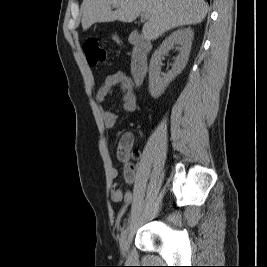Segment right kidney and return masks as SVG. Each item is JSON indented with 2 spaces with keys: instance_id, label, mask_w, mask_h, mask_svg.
Wrapping results in <instances>:
<instances>
[{
  "instance_id": "ca27d5eb",
  "label": "right kidney",
  "mask_w": 267,
  "mask_h": 267,
  "mask_svg": "<svg viewBox=\"0 0 267 267\" xmlns=\"http://www.w3.org/2000/svg\"><path fill=\"white\" fill-rule=\"evenodd\" d=\"M194 33L190 28H182L171 33L152 55L149 65V93L158 98L169 83L185 68L191 50ZM174 45H179V55L175 58L172 69L161 73V58L167 54Z\"/></svg>"
}]
</instances>
